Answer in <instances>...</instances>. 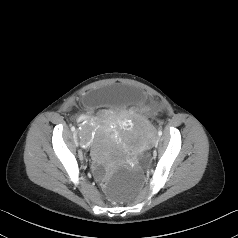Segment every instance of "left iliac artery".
Returning a JSON list of instances; mask_svg holds the SVG:
<instances>
[{"label":"left iliac artery","instance_id":"obj_1","mask_svg":"<svg viewBox=\"0 0 238 238\" xmlns=\"http://www.w3.org/2000/svg\"><path fill=\"white\" fill-rule=\"evenodd\" d=\"M158 135L161 136V135H162V131H159V132H158Z\"/></svg>","mask_w":238,"mask_h":238}]
</instances>
